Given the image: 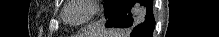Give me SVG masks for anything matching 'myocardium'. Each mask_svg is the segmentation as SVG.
I'll use <instances>...</instances> for the list:
<instances>
[{"label":"myocardium","instance_id":"f54148a6","mask_svg":"<svg viewBox=\"0 0 219 37\" xmlns=\"http://www.w3.org/2000/svg\"><path fill=\"white\" fill-rule=\"evenodd\" d=\"M77 1H81V2L85 3L89 7L90 12H89V15L86 18H84L80 21L73 22V21L68 20L66 12H67V10L69 9V7L72 3L77 2ZM99 11H100L99 1H95V0H72L68 3V5L65 8L63 19L67 24H69L71 26H81V25H84V24L88 23L91 19H93L99 13Z\"/></svg>","mask_w":219,"mask_h":37}]
</instances>
